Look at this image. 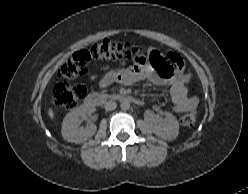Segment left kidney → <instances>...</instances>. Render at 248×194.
I'll return each mask as SVG.
<instances>
[{"label": "left kidney", "mask_w": 248, "mask_h": 194, "mask_svg": "<svg viewBox=\"0 0 248 194\" xmlns=\"http://www.w3.org/2000/svg\"><path fill=\"white\" fill-rule=\"evenodd\" d=\"M151 129L156 136L171 141L179 134V123L172 114L166 113V118L154 123Z\"/></svg>", "instance_id": "1"}]
</instances>
